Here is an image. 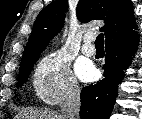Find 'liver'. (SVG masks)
<instances>
[{
    "instance_id": "obj_1",
    "label": "liver",
    "mask_w": 142,
    "mask_h": 119,
    "mask_svg": "<svg viewBox=\"0 0 142 119\" xmlns=\"http://www.w3.org/2000/svg\"><path fill=\"white\" fill-rule=\"evenodd\" d=\"M20 118L22 119H64L61 114L47 110L25 111Z\"/></svg>"
}]
</instances>
